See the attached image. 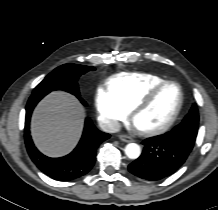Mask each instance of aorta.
I'll return each instance as SVG.
<instances>
[{"label": "aorta", "mask_w": 218, "mask_h": 210, "mask_svg": "<svg viewBox=\"0 0 218 210\" xmlns=\"http://www.w3.org/2000/svg\"><path fill=\"white\" fill-rule=\"evenodd\" d=\"M125 154L130 159H137L141 154L140 146L136 143H129L125 147Z\"/></svg>", "instance_id": "762f6f07"}]
</instances>
